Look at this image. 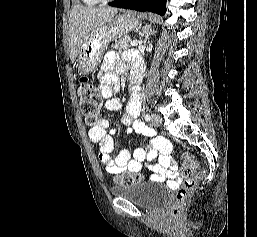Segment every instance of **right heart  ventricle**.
I'll return each instance as SVG.
<instances>
[{
    "mask_svg": "<svg viewBox=\"0 0 257 237\" xmlns=\"http://www.w3.org/2000/svg\"><path fill=\"white\" fill-rule=\"evenodd\" d=\"M82 2L89 6H94L99 3V0H82Z\"/></svg>",
    "mask_w": 257,
    "mask_h": 237,
    "instance_id": "right-heart-ventricle-1",
    "label": "right heart ventricle"
}]
</instances>
